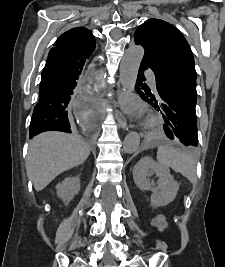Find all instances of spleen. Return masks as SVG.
Instances as JSON below:
<instances>
[{
    "mask_svg": "<svg viewBox=\"0 0 225 267\" xmlns=\"http://www.w3.org/2000/svg\"><path fill=\"white\" fill-rule=\"evenodd\" d=\"M157 160L161 166L172 168L190 182L196 181V162L189 154L170 146H160L157 151Z\"/></svg>",
    "mask_w": 225,
    "mask_h": 267,
    "instance_id": "1",
    "label": "spleen"
}]
</instances>
